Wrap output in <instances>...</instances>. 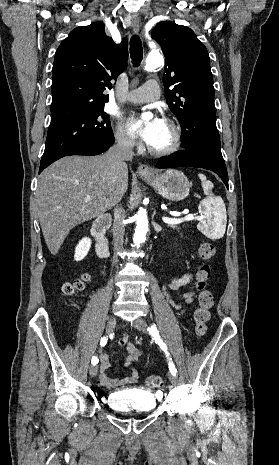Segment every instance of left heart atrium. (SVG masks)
Segmentation results:
<instances>
[{
    "mask_svg": "<svg viewBox=\"0 0 279 465\" xmlns=\"http://www.w3.org/2000/svg\"><path fill=\"white\" fill-rule=\"evenodd\" d=\"M162 123V120L155 118L144 126H139L135 121H131L130 126L134 133L139 135L146 143L149 144Z\"/></svg>",
    "mask_w": 279,
    "mask_h": 465,
    "instance_id": "obj_1",
    "label": "left heart atrium"
}]
</instances>
